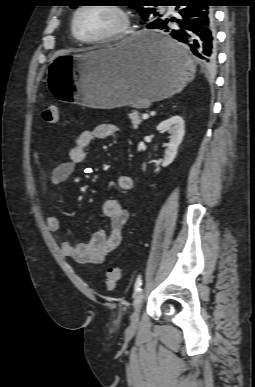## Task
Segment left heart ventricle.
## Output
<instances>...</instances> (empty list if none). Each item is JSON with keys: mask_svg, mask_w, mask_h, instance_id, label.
Segmentation results:
<instances>
[{"mask_svg": "<svg viewBox=\"0 0 255 387\" xmlns=\"http://www.w3.org/2000/svg\"><path fill=\"white\" fill-rule=\"evenodd\" d=\"M120 19L113 11L103 7H90L77 18V30L83 38L104 36L118 27Z\"/></svg>", "mask_w": 255, "mask_h": 387, "instance_id": "obj_1", "label": "left heart ventricle"}]
</instances>
